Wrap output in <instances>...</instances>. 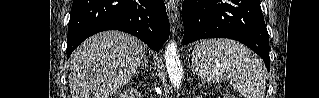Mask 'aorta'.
Segmentation results:
<instances>
[{
	"label": "aorta",
	"mask_w": 319,
	"mask_h": 98,
	"mask_svg": "<svg viewBox=\"0 0 319 98\" xmlns=\"http://www.w3.org/2000/svg\"><path fill=\"white\" fill-rule=\"evenodd\" d=\"M165 64L172 85L179 88L183 79V68L177 54V45L174 41L170 42L166 47Z\"/></svg>",
	"instance_id": "aorta-1"
}]
</instances>
